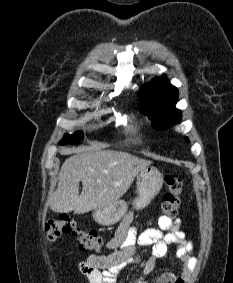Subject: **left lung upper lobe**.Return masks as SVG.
<instances>
[{
    "mask_svg": "<svg viewBox=\"0 0 233 283\" xmlns=\"http://www.w3.org/2000/svg\"><path fill=\"white\" fill-rule=\"evenodd\" d=\"M140 111L154 119L153 127L166 129L181 120V112L175 108L178 90L167 78L158 77L150 85H145L140 91ZM188 140V138H186Z\"/></svg>",
    "mask_w": 233,
    "mask_h": 283,
    "instance_id": "1",
    "label": "left lung upper lobe"
}]
</instances>
